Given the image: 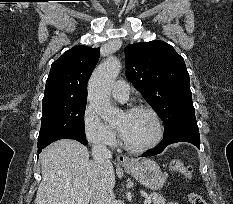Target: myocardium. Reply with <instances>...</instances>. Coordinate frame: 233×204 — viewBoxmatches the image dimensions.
<instances>
[{
    "mask_svg": "<svg viewBox=\"0 0 233 204\" xmlns=\"http://www.w3.org/2000/svg\"><path fill=\"white\" fill-rule=\"evenodd\" d=\"M126 113H134V112H146L148 113L154 120L155 125H156V134L154 136V138L147 144L145 145H141V146H134L131 145L130 143H128L125 138L123 137V135L121 134V132L118 130L119 132V137L121 140V143L123 145V147L133 153H143V152H147L153 148H155L163 139L164 136V125L162 122V119L160 117V115L157 113L156 110H154L152 107L147 106V105H133L130 106L129 108L126 109L125 111Z\"/></svg>",
    "mask_w": 233,
    "mask_h": 204,
    "instance_id": "obj_1",
    "label": "myocardium"
}]
</instances>
